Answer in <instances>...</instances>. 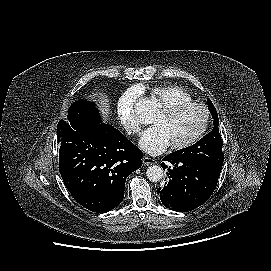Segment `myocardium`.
Instances as JSON below:
<instances>
[{
  "label": "myocardium",
  "instance_id": "myocardium-1",
  "mask_svg": "<svg viewBox=\"0 0 271 271\" xmlns=\"http://www.w3.org/2000/svg\"><path fill=\"white\" fill-rule=\"evenodd\" d=\"M190 107H196L201 109L204 112V123L199 129V131L192 136L190 139L186 140L185 142L179 143V144H171L170 147L172 150H184L192 145L196 144L207 132L209 124H210V119H211V113L209 108L200 102H195V101H189V102H183V103H176L173 105H169L166 107H162L160 109V113L165 115V116H174L178 114L179 112L190 108Z\"/></svg>",
  "mask_w": 271,
  "mask_h": 271
}]
</instances>
